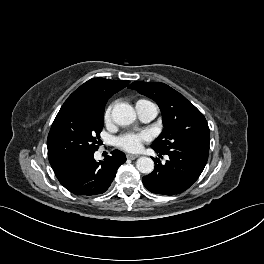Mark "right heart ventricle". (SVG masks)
<instances>
[{"label": "right heart ventricle", "instance_id": "e07e8e85", "mask_svg": "<svg viewBox=\"0 0 264 264\" xmlns=\"http://www.w3.org/2000/svg\"><path fill=\"white\" fill-rule=\"evenodd\" d=\"M149 102L148 100H145V99H139L137 102H136V106L142 104V103H147Z\"/></svg>", "mask_w": 264, "mask_h": 264}]
</instances>
